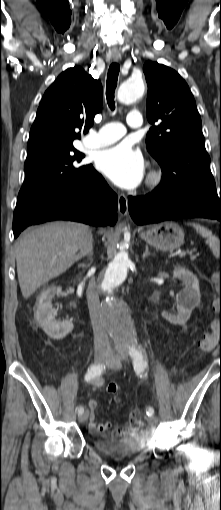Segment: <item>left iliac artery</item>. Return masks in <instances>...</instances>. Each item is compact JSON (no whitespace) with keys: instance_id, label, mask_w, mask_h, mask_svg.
Listing matches in <instances>:
<instances>
[{"instance_id":"1","label":"left iliac artery","mask_w":221,"mask_h":510,"mask_svg":"<svg viewBox=\"0 0 221 510\" xmlns=\"http://www.w3.org/2000/svg\"><path fill=\"white\" fill-rule=\"evenodd\" d=\"M129 354L133 358V367H134L135 372L138 375H141L144 372V370L146 369L147 365H148L143 351L138 349V348H136V347H134V346H132L129 349ZM146 414L148 416H152L154 414L153 407H151V406L148 407L147 410H146Z\"/></svg>"}]
</instances>
